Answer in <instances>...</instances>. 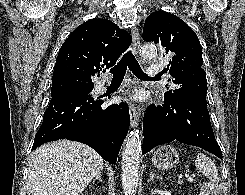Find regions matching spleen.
Wrapping results in <instances>:
<instances>
[{"instance_id":"spleen-1","label":"spleen","mask_w":245,"mask_h":195,"mask_svg":"<svg viewBox=\"0 0 245 195\" xmlns=\"http://www.w3.org/2000/svg\"><path fill=\"white\" fill-rule=\"evenodd\" d=\"M196 168L203 172V174L210 180H216L218 178V170L212 160H210L205 154H198L195 161Z\"/></svg>"}]
</instances>
